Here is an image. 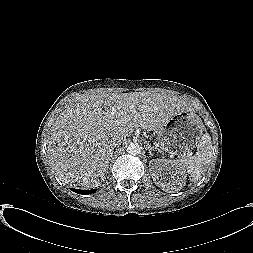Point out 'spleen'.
<instances>
[{"mask_svg": "<svg viewBox=\"0 0 253 253\" xmlns=\"http://www.w3.org/2000/svg\"><path fill=\"white\" fill-rule=\"evenodd\" d=\"M212 156V142L208 133L201 137L195 155H190L188 158L182 157L176 159L173 163L182 170H187L191 181H198L206 172Z\"/></svg>", "mask_w": 253, "mask_h": 253, "instance_id": "obj_1", "label": "spleen"}]
</instances>
